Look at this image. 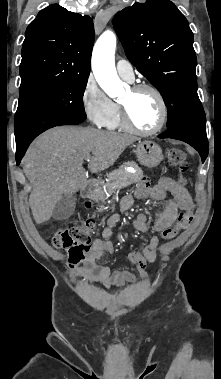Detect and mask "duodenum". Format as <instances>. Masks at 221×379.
Here are the masks:
<instances>
[{"instance_id": "410a0bca", "label": "duodenum", "mask_w": 221, "mask_h": 379, "mask_svg": "<svg viewBox=\"0 0 221 379\" xmlns=\"http://www.w3.org/2000/svg\"><path fill=\"white\" fill-rule=\"evenodd\" d=\"M84 195L87 201L96 202L97 201V181L89 180L84 189Z\"/></svg>"}]
</instances>
